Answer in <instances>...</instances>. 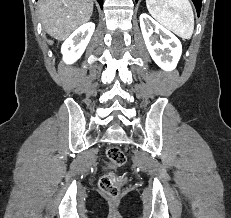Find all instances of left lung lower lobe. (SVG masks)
<instances>
[{"label":"left lung lower lobe","mask_w":231,"mask_h":218,"mask_svg":"<svg viewBox=\"0 0 231 218\" xmlns=\"http://www.w3.org/2000/svg\"><path fill=\"white\" fill-rule=\"evenodd\" d=\"M138 0H136L137 2ZM194 2V5L196 7V10H197V13H198V16L200 14V10H201V1L202 0H192Z\"/></svg>","instance_id":"left-lung-lower-lobe-1"}]
</instances>
